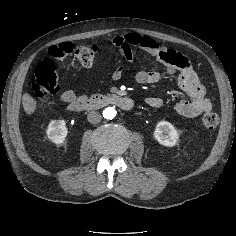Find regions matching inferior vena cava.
I'll use <instances>...</instances> for the list:
<instances>
[{
    "label": "inferior vena cava",
    "instance_id": "inferior-vena-cava-1",
    "mask_svg": "<svg viewBox=\"0 0 236 236\" xmlns=\"http://www.w3.org/2000/svg\"><path fill=\"white\" fill-rule=\"evenodd\" d=\"M87 119L91 124H97L101 121L102 116L97 111H91L88 113Z\"/></svg>",
    "mask_w": 236,
    "mask_h": 236
}]
</instances>
